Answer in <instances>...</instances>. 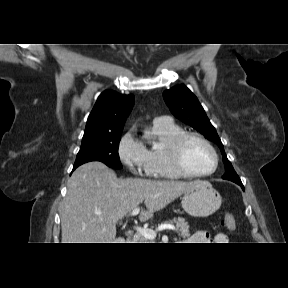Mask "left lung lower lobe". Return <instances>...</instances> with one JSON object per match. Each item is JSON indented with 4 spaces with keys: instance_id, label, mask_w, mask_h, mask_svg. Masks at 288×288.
<instances>
[{
    "instance_id": "1",
    "label": "left lung lower lobe",
    "mask_w": 288,
    "mask_h": 288,
    "mask_svg": "<svg viewBox=\"0 0 288 288\" xmlns=\"http://www.w3.org/2000/svg\"><path fill=\"white\" fill-rule=\"evenodd\" d=\"M238 185H240L242 187V189L244 190L243 184L242 183H237Z\"/></svg>"
}]
</instances>
